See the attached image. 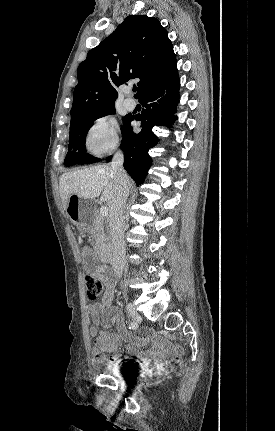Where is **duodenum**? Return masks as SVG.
I'll list each match as a JSON object with an SVG mask.
<instances>
[{
    "instance_id": "410a0bca",
    "label": "duodenum",
    "mask_w": 275,
    "mask_h": 431,
    "mask_svg": "<svg viewBox=\"0 0 275 431\" xmlns=\"http://www.w3.org/2000/svg\"><path fill=\"white\" fill-rule=\"evenodd\" d=\"M98 256H99L100 261H102L104 263H109L113 259L112 250L107 246L100 248Z\"/></svg>"
}]
</instances>
